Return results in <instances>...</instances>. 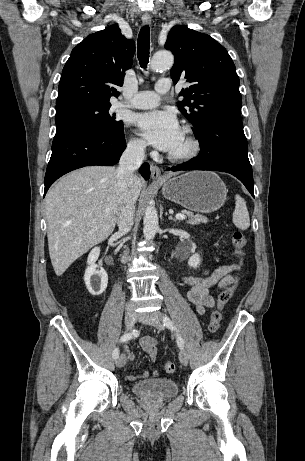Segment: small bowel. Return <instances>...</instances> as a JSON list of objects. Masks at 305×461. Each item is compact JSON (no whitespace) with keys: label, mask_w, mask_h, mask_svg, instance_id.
Here are the masks:
<instances>
[{"label":"small bowel","mask_w":305,"mask_h":461,"mask_svg":"<svg viewBox=\"0 0 305 461\" xmlns=\"http://www.w3.org/2000/svg\"><path fill=\"white\" fill-rule=\"evenodd\" d=\"M238 269L236 263L223 264L215 267L212 270H206L199 277L186 276L183 278V284L186 287V296L191 305L199 314H204L208 309L215 306V298L212 295V290L222 288L228 285L233 279V273ZM157 339L146 336L140 340V345L145 353H147L151 361L157 360ZM127 357L130 361L135 360V354L125 347ZM148 373L143 372L138 375L139 378L147 377ZM154 377L158 376V371L152 372ZM136 376L129 375V380H134Z\"/></svg>","instance_id":"c3829d8e"}]
</instances>
